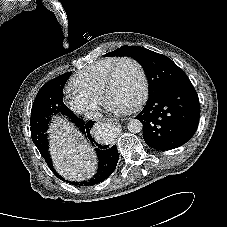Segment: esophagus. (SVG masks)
Listing matches in <instances>:
<instances>
[{"mask_svg":"<svg viewBox=\"0 0 227 227\" xmlns=\"http://www.w3.org/2000/svg\"><path fill=\"white\" fill-rule=\"evenodd\" d=\"M113 125H116L117 127H120L119 121L118 120H111Z\"/></svg>","mask_w":227,"mask_h":227,"instance_id":"34e87169","label":"esophagus"}]
</instances>
